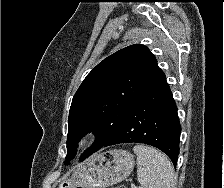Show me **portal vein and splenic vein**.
I'll use <instances>...</instances> for the list:
<instances>
[{"instance_id": "portal-vein-and-splenic-vein-1", "label": "portal vein and splenic vein", "mask_w": 224, "mask_h": 188, "mask_svg": "<svg viewBox=\"0 0 224 188\" xmlns=\"http://www.w3.org/2000/svg\"><path fill=\"white\" fill-rule=\"evenodd\" d=\"M131 187H132V188H137L134 184H131Z\"/></svg>"}]
</instances>
